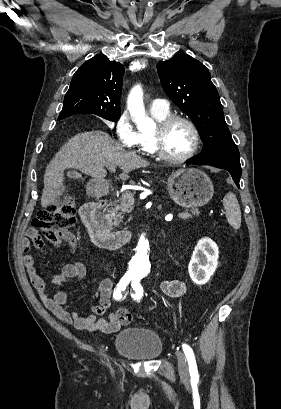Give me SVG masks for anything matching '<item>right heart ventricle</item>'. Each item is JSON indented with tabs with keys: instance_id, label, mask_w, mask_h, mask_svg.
Instances as JSON below:
<instances>
[{
	"instance_id": "obj_1",
	"label": "right heart ventricle",
	"mask_w": 281,
	"mask_h": 409,
	"mask_svg": "<svg viewBox=\"0 0 281 409\" xmlns=\"http://www.w3.org/2000/svg\"><path fill=\"white\" fill-rule=\"evenodd\" d=\"M153 117L159 122L162 121L164 118L169 116L168 112H160V111H152ZM137 149L152 154V149L150 147L149 138L146 132H140L137 134Z\"/></svg>"
}]
</instances>
